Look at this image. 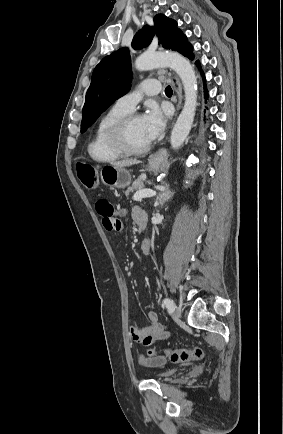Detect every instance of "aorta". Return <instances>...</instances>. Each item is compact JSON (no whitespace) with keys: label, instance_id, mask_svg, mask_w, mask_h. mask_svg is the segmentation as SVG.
Returning <instances> with one entry per match:
<instances>
[{"label":"aorta","instance_id":"obj_1","mask_svg":"<svg viewBox=\"0 0 283 434\" xmlns=\"http://www.w3.org/2000/svg\"><path fill=\"white\" fill-rule=\"evenodd\" d=\"M167 66L172 68L182 81L185 103L173 128L170 142L174 149L179 148L188 136L197 106V78L190 62L177 53L143 54L135 60L139 71Z\"/></svg>","mask_w":283,"mask_h":434}]
</instances>
